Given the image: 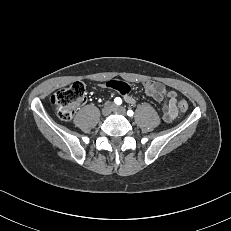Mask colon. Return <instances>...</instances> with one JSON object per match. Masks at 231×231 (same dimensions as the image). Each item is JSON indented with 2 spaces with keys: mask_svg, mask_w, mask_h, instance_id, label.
<instances>
[{
  "mask_svg": "<svg viewBox=\"0 0 231 231\" xmlns=\"http://www.w3.org/2000/svg\"><path fill=\"white\" fill-rule=\"evenodd\" d=\"M85 97V85L82 82H75L54 92L51 102L56 109L58 117L63 121H69L73 118L76 108L85 100ZM188 107V102L185 99L179 100L178 109L181 112H186Z\"/></svg>",
  "mask_w": 231,
  "mask_h": 231,
  "instance_id": "obj_1",
  "label": "colon"
}]
</instances>
